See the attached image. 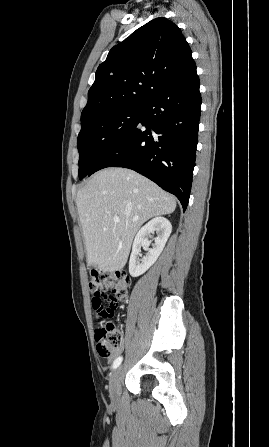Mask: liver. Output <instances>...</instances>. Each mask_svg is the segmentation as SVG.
<instances>
[{
    "label": "liver",
    "mask_w": 269,
    "mask_h": 447,
    "mask_svg": "<svg viewBox=\"0 0 269 447\" xmlns=\"http://www.w3.org/2000/svg\"><path fill=\"white\" fill-rule=\"evenodd\" d=\"M76 206L88 265L120 271L139 227L154 216L172 214L176 200L133 170L105 168L78 190ZM114 216L120 222H114Z\"/></svg>",
    "instance_id": "1"
}]
</instances>
